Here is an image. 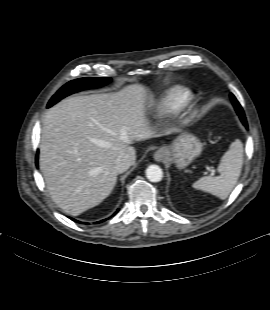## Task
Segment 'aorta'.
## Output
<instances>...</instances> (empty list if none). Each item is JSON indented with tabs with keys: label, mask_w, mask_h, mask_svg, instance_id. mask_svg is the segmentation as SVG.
Wrapping results in <instances>:
<instances>
[{
	"label": "aorta",
	"mask_w": 270,
	"mask_h": 310,
	"mask_svg": "<svg viewBox=\"0 0 270 310\" xmlns=\"http://www.w3.org/2000/svg\"><path fill=\"white\" fill-rule=\"evenodd\" d=\"M146 177L151 182H159L163 178V171L158 165H150L146 169Z\"/></svg>",
	"instance_id": "obj_1"
}]
</instances>
